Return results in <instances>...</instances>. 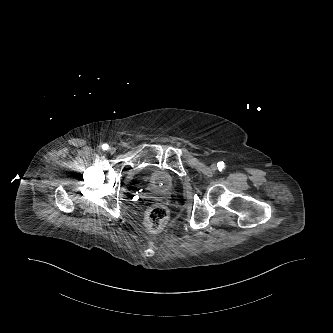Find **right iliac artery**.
<instances>
[{"label": "right iliac artery", "instance_id": "1", "mask_svg": "<svg viewBox=\"0 0 333 333\" xmlns=\"http://www.w3.org/2000/svg\"><path fill=\"white\" fill-rule=\"evenodd\" d=\"M102 149L103 150H108L109 149V145L108 144H103L102 145Z\"/></svg>", "mask_w": 333, "mask_h": 333}]
</instances>
